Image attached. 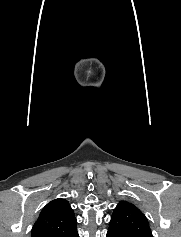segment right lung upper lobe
<instances>
[{
    "mask_svg": "<svg viewBox=\"0 0 181 237\" xmlns=\"http://www.w3.org/2000/svg\"><path fill=\"white\" fill-rule=\"evenodd\" d=\"M76 218L65 199L49 202L41 211L32 228L31 237H74L77 233Z\"/></svg>",
    "mask_w": 181,
    "mask_h": 237,
    "instance_id": "obj_1",
    "label": "right lung upper lobe"
}]
</instances>
